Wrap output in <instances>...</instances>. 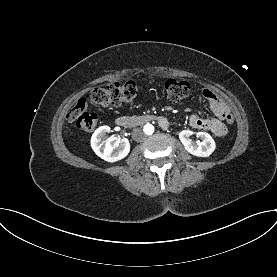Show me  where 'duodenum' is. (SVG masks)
Returning <instances> with one entry per match:
<instances>
[{"label": "duodenum", "mask_w": 277, "mask_h": 277, "mask_svg": "<svg viewBox=\"0 0 277 277\" xmlns=\"http://www.w3.org/2000/svg\"><path fill=\"white\" fill-rule=\"evenodd\" d=\"M155 120H158V118L153 115L121 116L115 120V123L119 127L133 128ZM161 124L164 129L167 128V124H165L164 122H161Z\"/></svg>", "instance_id": "duodenum-1"}]
</instances>
